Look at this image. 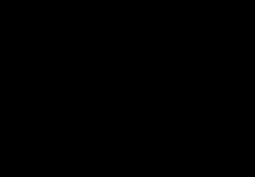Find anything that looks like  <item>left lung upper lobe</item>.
<instances>
[{
	"label": "left lung upper lobe",
	"mask_w": 255,
	"mask_h": 177,
	"mask_svg": "<svg viewBox=\"0 0 255 177\" xmlns=\"http://www.w3.org/2000/svg\"><path fill=\"white\" fill-rule=\"evenodd\" d=\"M147 44L158 52L159 63L165 70V72L159 71L156 74V79L165 88L161 94L159 102L180 107L183 99L181 97L176 73H168L166 55L170 49L176 47L175 42L170 37L154 33L150 34L146 40Z\"/></svg>",
	"instance_id": "left-lung-upper-lobe-1"
}]
</instances>
